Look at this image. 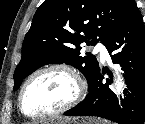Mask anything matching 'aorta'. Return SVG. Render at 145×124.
<instances>
[{
    "mask_svg": "<svg viewBox=\"0 0 145 124\" xmlns=\"http://www.w3.org/2000/svg\"><path fill=\"white\" fill-rule=\"evenodd\" d=\"M115 87H116V90L118 91V93H122L123 92L124 81H123V78H121L120 76H118V79L115 82Z\"/></svg>",
    "mask_w": 145,
    "mask_h": 124,
    "instance_id": "aorta-1",
    "label": "aorta"
}]
</instances>
